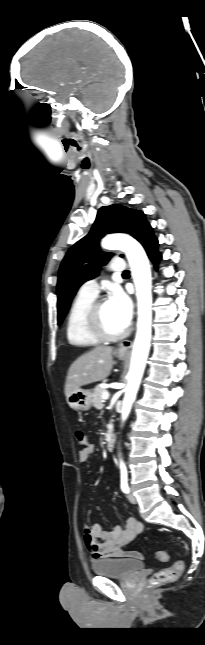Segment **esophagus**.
I'll use <instances>...</instances> for the list:
<instances>
[{
	"label": "esophagus",
	"mask_w": 205,
	"mask_h": 645,
	"mask_svg": "<svg viewBox=\"0 0 205 645\" xmlns=\"http://www.w3.org/2000/svg\"><path fill=\"white\" fill-rule=\"evenodd\" d=\"M130 348H131V342L129 340H125L119 345L117 352L119 354H126Z\"/></svg>",
	"instance_id": "34e87169"
}]
</instances>
